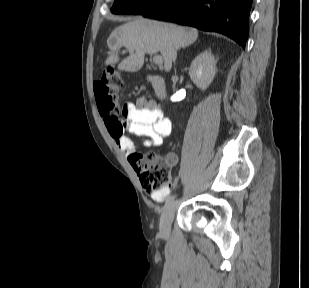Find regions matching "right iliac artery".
Returning a JSON list of instances; mask_svg holds the SVG:
<instances>
[{
	"label": "right iliac artery",
	"mask_w": 309,
	"mask_h": 288,
	"mask_svg": "<svg viewBox=\"0 0 309 288\" xmlns=\"http://www.w3.org/2000/svg\"><path fill=\"white\" fill-rule=\"evenodd\" d=\"M173 195V194H172ZM172 195H170L168 198H167V200H166V203L168 204L170 201H172L173 199H175L176 197H175V195L174 196H172Z\"/></svg>",
	"instance_id": "1"
}]
</instances>
